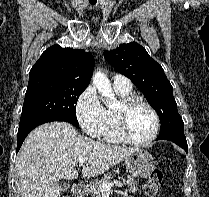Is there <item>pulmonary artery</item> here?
I'll list each match as a JSON object with an SVG mask.
<instances>
[{"label":"pulmonary artery","instance_id":"e3ab8cb5","mask_svg":"<svg viewBox=\"0 0 209 197\" xmlns=\"http://www.w3.org/2000/svg\"><path fill=\"white\" fill-rule=\"evenodd\" d=\"M113 87L115 89L130 90L132 88V84L126 76L115 74L113 76Z\"/></svg>","mask_w":209,"mask_h":197}]
</instances>
